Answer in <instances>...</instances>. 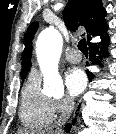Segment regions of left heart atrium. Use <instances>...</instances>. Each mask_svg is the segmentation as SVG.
Instances as JSON below:
<instances>
[{
  "label": "left heart atrium",
  "mask_w": 116,
  "mask_h": 134,
  "mask_svg": "<svg viewBox=\"0 0 116 134\" xmlns=\"http://www.w3.org/2000/svg\"><path fill=\"white\" fill-rule=\"evenodd\" d=\"M86 83V75L81 69L72 68L66 73L65 85L71 96L79 95L85 89Z\"/></svg>",
  "instance_id": "left-heart-atrium-1"
}]
</instances>
